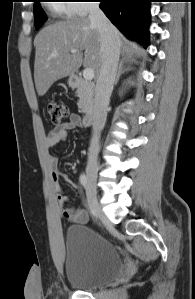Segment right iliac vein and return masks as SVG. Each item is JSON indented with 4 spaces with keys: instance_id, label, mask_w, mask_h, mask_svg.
<instances>
[{
    "instance_id": "1",
    "label": "right iliac vein",
    "mask_w": 195,
    "mask_h": 299,
    "mask_svg": "<svg viewBox=\"0 0 195 299\" xmlns=\"http://www.w3.org/2000/svg\"><path fill=\"white\" fill-rule=\"evenodd\" d=\"M87 174V201L91 209H97L99 204L97 201V173L94 165H89L86 170Z\"/></svg>"
}]
</instances>
